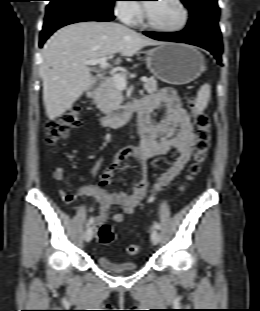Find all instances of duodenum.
<instances>
[{
	"instance_id": "obj_1",
	"label": "duodenum",
	"mask_w": 260,
	"mask_h": 311,
	"mask_svg": "<svg viewBox=\"0 0 260 311\" xmlns=\"http://www.w3.org/2000/svg\"><path fill=\"white\" fill-rule=\"evenodd\" d=\"M106 82V77L100 75L96 77L93 84L89 87L87 97L90 101H94L101 89V86ZM142 111V102L135 101L122 105L115 111L102 117L101 122L104 126H118L127 122L133 113Z\"/></svg>"
}]
</instances>
